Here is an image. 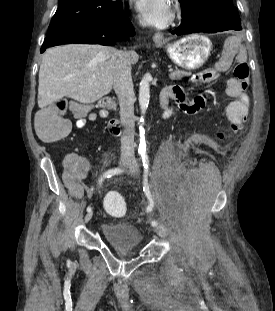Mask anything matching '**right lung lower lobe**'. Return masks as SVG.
Masks as SVG:
<instances>
[{"label":"right lung lower lobe","instance_id":"1","mask_svg":"<svg viewBox=\"0 0 275 311\" xmlns=\"http://www.w3.org/2000/svg\"><path fill=\"white\" fill-rule=\"evenodd\" d=\"M130 35H134L131 22L120 9L96 19L63 24L47 32L41 53L46 48L68 43L113 45Z\"/></svg>","mask_w":275,"mask_h":311}]
</instances>
